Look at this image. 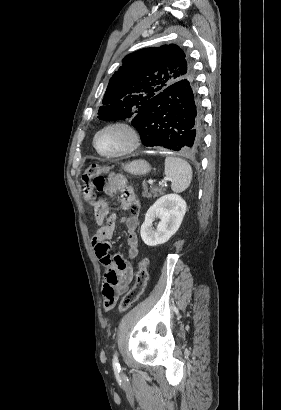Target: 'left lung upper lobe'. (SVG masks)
<instances>
[{
	"label": "left lung upper lobe",
	"instance_id": "obj_1",
	"mask_svg": "<svg viewBox=\"0 0 281 410\" xmlns=\"http://www.w3.org/2000/svg\"><path fill=\"white\" fill-rule=\"evenodd\" d=\"M194 77L185 53L174 44L145 48L127 55L110 79L98 118H134L151 98L182 79Z\"/></svg>",
	"mask_w": 281,
	"mask_h": 410
}]
</instances>
